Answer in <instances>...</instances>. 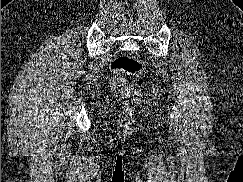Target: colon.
<instances>
[{"label":"colon","mask_w":243,"mask_h":182,"mask_svg":"<svg viewBox=\"0 0 243 182\" xmlns=\"http://www.w3.org/2000/svg\"><path fill=\"white\" fill-rule=\"evenodd\" d=\"M143 70V62L134 57L128 55L116 57L110 65L113 87L124 96L135 95V90L127 83L124 76L139 74Z\"/></svg>","instance_id":"1"}]
</instances>
